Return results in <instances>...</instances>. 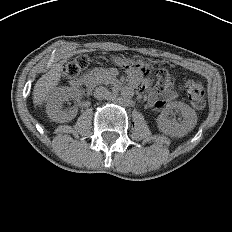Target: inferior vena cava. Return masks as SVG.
Returning a JSON list of instances; mask_svg holds the SVG:
<instances>
[{
    "mask_svg": "<svg viewBox=\"0 0 232 232\" xmlns=\"http://www.w3.org/2000/svg\"><path fill=\"white\" fill-rule=\"evenodd\" d=\"M94 97L98 100L108 99L110 97V92L106 87L98 86L94 90Z\"/></svg>",
    "mask_w": 232,
    "mask_h": 232,
    "instance_id": "1",
    "label": "inferior vena cava"
}]
</instances>
